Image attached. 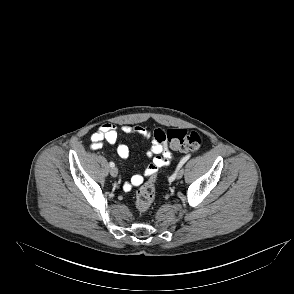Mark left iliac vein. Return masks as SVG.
Masks as SVG:
<instances>
[{
  "mask_svg": "<svg viewBox=\"0 0 294 294\" xmlns=\"http://www.w3.org/2000/svg\"><path fill=\"white\" fill-rule=\"evenodd\" d=\"M183 176V169H181L176 175L175 179H180Z\"/></svg>",
  "mask_w": 294,
  "mask_h": 294,
  "instance_id": "4c4485c4",
  "label": "left iliac vein"
}]
</instances>
